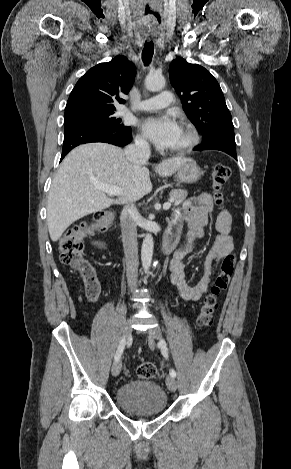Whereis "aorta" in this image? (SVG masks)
<instances>
[{
	"mask_svg": "<svg viewBox=\"0 0 291 469\" xmlns=\"http://www.w3.org/2000/svg\"><path fill=\"white\" fill-rule=\"evenodd\" d=\"M166 81L162 75L149 74L145 79V87L149 91H159L165 87ZM154 242L151 234H146L141 249V261L145 272L151 266Z\"/></svg>",
	"mask_w": 291,
	"mask_h": 469,
	"instance_id": "obj_1",
	"label": "aorta"
}]
</instances>
